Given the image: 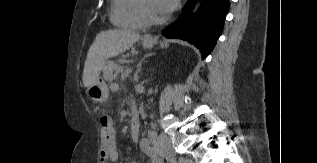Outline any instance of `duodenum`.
Segmentation results:
<instances>
[{"mask_svg": "<svg viewBox=\"0 0 317 163\" xmlns=\"http://www.w3.org/2000/svg\"><path fill=\"white\" fill-rule=\"evenodd\" d=\"M131 137L138 140L140 137V118L136 112H133L130 119Z\"/></svg>", "mask_w": 317, "mask_h": 163, "instance_id": "1", "label": "duodenum"}]
</instances>
